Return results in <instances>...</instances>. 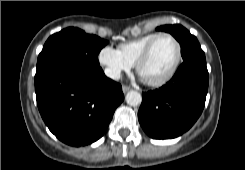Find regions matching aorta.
Returning <instances> with one entry per match:
<instances>
[{"label":"aorta","instance_id":"762f6f07","mask_svg":"<svg viewBox=\"0 0 245 170\" xmlns=\"http://www.w3.org/2000/svg\"><path fill=\"white\" fill-rule=\"evenodd\" d=\"M126 102L130 106H138L142 102L141 94L137 91H129L126 95Z\"/></svg>","mask_w":245,"mask_h":170}]
</instances>
